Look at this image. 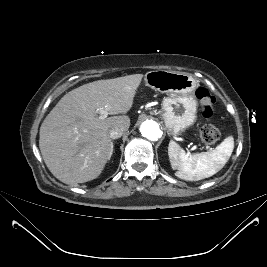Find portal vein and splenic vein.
Returning <instances> with one entry per match:
<instances>
[{"mask_svg":"<svg viewBox=\"0 0 267 267\" xmlns=\"http://www.w3.org/2000/svg\"><path fill=\"white\" fill-rule=\"evenodd\" d=\"M99 113H100V116H99V118L101 119V120H104L105 118H107V115H108V113L104 110V109H99Z\"/></svg>","mask_w":267,"mask_h":267,"instance_id":"1","label":"portal vein and splenic vein"}]
</instances>
